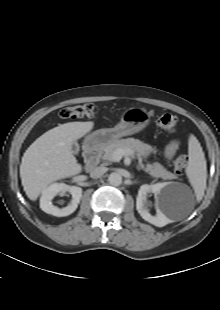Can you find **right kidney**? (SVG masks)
<instances>
[{"instance_id":"1","label":"right kidney","mask_w":220,"mask_h":310,"mask_svg":"<svg viewBox=\"0 0 220 310\" xmlns=\"http://www.w3.org/2000/svg\"><path fill=\"white\" fill-rule=\"evenodd\" d=\"M68 191L72 195L71 203L64 207L58 208L52 204V199L60 192ZM82 197V189L77 186H69L65 183H53L42 191L40 198V208L51 215L64 217L72 214L78 207Z\"/></svg>"}]
</instances>
